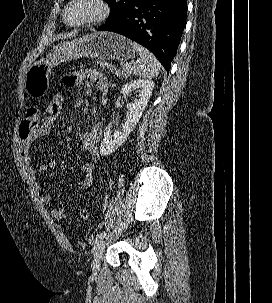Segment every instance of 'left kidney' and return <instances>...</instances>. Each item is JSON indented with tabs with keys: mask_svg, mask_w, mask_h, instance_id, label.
<instances>
[{
	"mask_svg": "<svg viewBox=\"0 0 272 303\" xmlns=\"http://www.w3.org/2000/svg\"><path fill=\"white\" fill-rule=\"evenodd\" d=\"M152 80H133L123 85L121 93L128 95L132 90L139 91V99L134 103L127 104V113L124 124L119 131L112 132V124H109L104 133L100 147V154L108 156L123 144L131 131L135 128L141 118L154 88Z\"/></svg>",
	"mask_w": 272,
	"mask_h": 303,
	"instance_id": "obj_1",
	"label": "left kidney"
}]
</instances>
